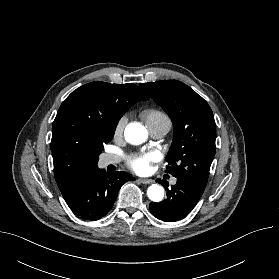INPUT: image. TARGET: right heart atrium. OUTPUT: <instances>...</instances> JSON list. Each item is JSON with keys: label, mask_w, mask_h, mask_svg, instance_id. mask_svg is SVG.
Here are the masks:
<instances>
[{"label": "right heart atrium", "mask_w": 279, "mask_h": 279, "mask_svg": "<svg viewBox=\"0 0 279 279\" xmlns=\"http://www.w3.org/2000/svg\"><path fill=\"white\" fill-rule=\"evenodd\" d=\"M127 123V118L126 116H121L115 123L114 126V135L116 137L121 136L124 132L125 126Z\"/></svg>", "instance_id": "obj_1"}]
</instances>
